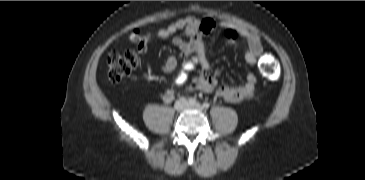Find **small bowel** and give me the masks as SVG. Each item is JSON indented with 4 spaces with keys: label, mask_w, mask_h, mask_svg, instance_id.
<instances>
[{
    "label": "small bowel",
    "mask_w": 365,
    "mask_h": 180,
    "mask_svg": "<svg viewBox=\"0 0 365 180\" xmlns=\"http://www.w3.org/2000/svg\"><path fill=\"white\" fill-rule=\"evenodd\" d=\"M229 38L243 39L246 44L244 57L248 64L256 65L258 58L263 51L261 37L243 27L226 24ZM217 28V24L211 19H198L193 16L177 19L167 27L147 33L138 43V50L141 54L146 53L148 43L153 39H167L177 31H182L183 36L173 37L172 41L184 54L185 60L181 72L176 80L181 86L188 82L189 90H200L204 92L216 89V95L230 103H238L249 99L257 91L258 75L254 72L246 74L242 84L222 85L218 87L221 71H210V64L207 60L204 46V38ZM178 68V60L170 55L166 58L162 69L165 72H174ZM174 98V91L168 90L163 95L165 102Z\"/></svg>",
    "instance_id": "1"
}]
</instances>
